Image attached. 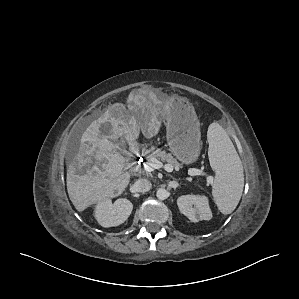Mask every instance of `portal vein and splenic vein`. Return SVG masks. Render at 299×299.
I'll list each match as a JSON object with an SVG mask.
<instances>
[{"label": "portal vein and splenic vein", "instance_id": "obj_1", "mask_svg": "<svg viewBox=\"0 0 299 299\" xmlns=\"http://www.w3.org/2000/svg\"><path fill=\"white\" fill-rule=\"evenodd\" d=\"M163 168L167 172H172L173 167L170 164H163L162 162L158 161L156 158H151L148 160L146 165V171L151 172L154 169H161ZM189 175L191 176H197V175H204V172L199 169L191 168L189 169ZM208 181H213V178L211 176L207 177Z\"/></svg>", "mask_w": 299, "mask_h": 299}]
</instances>
